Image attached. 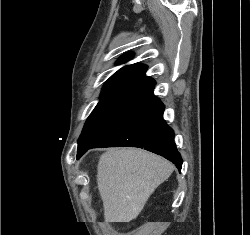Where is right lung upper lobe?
Listing matches in <instances>:
<instances>
[{
	"instance_id": "obj_1",
	"label": "right lung upper lobe",
	"mask_w": 250,
	"mask_h": 235,
	"mask_svg": "<svg viewBox=\"0 0 250 235\" xmlns=\"http://www.w3.org/2000/svg\"><path fill=\"white\" fill-rule=\"evenodd\" d=\"M132 58V53L123 55L119 62L124 63ZM147 66L135 63L126 65L113 74L104 84L101 97H128L131 98L154 80L145 75Z\"/></svg>"
}]
</instances>
